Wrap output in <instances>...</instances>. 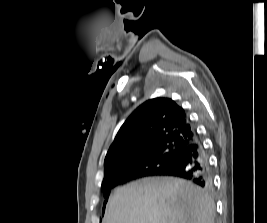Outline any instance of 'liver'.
I'll return each instance as SVG.
<instances>
[{"label":"liver","instance_id":"1","mask_svg":"<svg viewBox=\"0 0 267 223\" xmlns=\"http://www.w3.org/2000/svg\"><path fill=\"white\" fill-rule=\"evenodd\" d=\"M212 198L191 182L144 178L115 189L103 223H214Z\"/></svg>","mask_w":267,"mask_h":223}]
</instances>
